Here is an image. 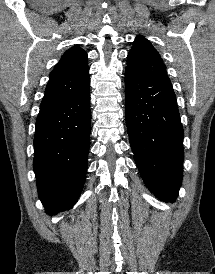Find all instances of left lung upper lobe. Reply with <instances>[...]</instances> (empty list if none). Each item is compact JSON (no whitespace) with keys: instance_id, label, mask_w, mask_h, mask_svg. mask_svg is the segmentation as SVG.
Returning <instances> with one entry per match:
<instances>
[{"instance_id":"left-lung-upper-lobe-1","label":"left lung upper lobe","mask_w":215,"mask_h":274,"mask_svg":"<svg viewBox=\"0 0 215 274\" xmlns=\"http://www.w3.org/2000/svg\"><path fill=\"white\" fill-rule=\"evenodd\" d=\"M127 67L137 72L170 82L166 66L153 45L142 36H138L128 53Z\"/></svg>"}]
</instances>
